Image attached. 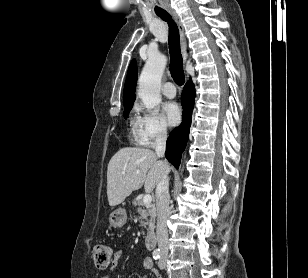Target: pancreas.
<instances>
[{
    "label": "pancreas",
    "instance_id": "pancreas-1",
    "mask_svg": "<svg viewBox=\"0 0 308 278\" xmlns=\"http://www.w3.org/2000/svg\"><path fill=\"white\" fill-rule=\"evenodd\" d=\"M133 205L136 207L141 219V225L147 228L148 231L153 232L155 229L156 208L152 203H144L143 200H135Z\"/></svg>",
    "mask_w": 308,
    "mask_h": 278
}]
</instances>
